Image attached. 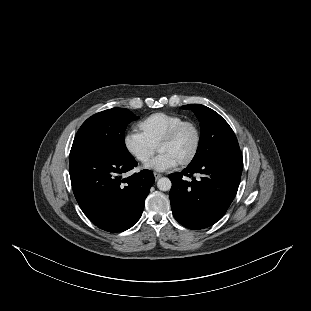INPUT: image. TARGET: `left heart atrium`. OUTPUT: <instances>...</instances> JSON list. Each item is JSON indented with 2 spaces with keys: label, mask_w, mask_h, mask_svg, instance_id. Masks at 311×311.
<instances>
[{
  "label": "left heart atrium",
  "mask_w": 311,
  "mask_h": 311,
  "mask_svg": "<svg viewBox=\"0 0 311 311\" xmlns=\"http://www.w3.org/2000/svg\"><path fill=\"white\" fill-rule=\"evenodd\" d=\"M179 164V161L172 155L168 153H159L145 167L156 172H164L169 169L175 168Z\"/></svg>",
  "instance_id": "1"
}]
</instances>
